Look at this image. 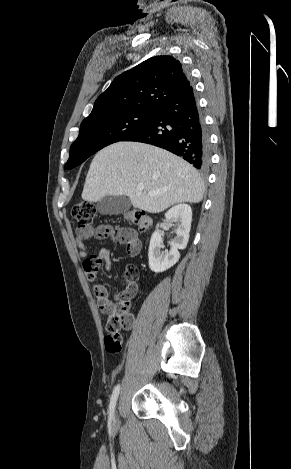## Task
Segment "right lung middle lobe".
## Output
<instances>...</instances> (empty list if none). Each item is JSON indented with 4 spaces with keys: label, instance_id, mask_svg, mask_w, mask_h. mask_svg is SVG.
I'll return each mask as SVG.
<instances>
[{
    "label": "right lung middle lobe",
    "instance_id": "obj_1",
    "mask_svg": "<svg viewBox=\"0 0 291 469\" xmlns=\"http://www.w3.org/2000/svg\"><path fill=\"white\" fill-rule=\"evenodd\" d=\"M152 114L153 110L132 109L104 118L83 120L65 169L74 168L103 147L122 141L143 126Z\"/></svg>",
    "mask_w": 291,
    "mask_h": 469
}]
</instances>
